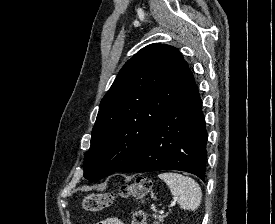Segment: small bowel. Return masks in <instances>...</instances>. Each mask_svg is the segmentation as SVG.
I'll list each match as a JSON object with an SVG mask.
<instances>
[{
  "label": "small bowel",
  "mask_w": 275,
  "mask_h": 224,
  "mask_svg": "<svg viewBox=\"0 0 275 224\" xmlns=\"http://www.w3.org/2000/svg\"><path fill=\"white\" fill-rule=\"evenodd\" d=\"M96 224H123V223L115 217H110V218H107L106 220L96 223Z\"/></svg>",
  "instance_id": "small-bowel-1"
}]
</instances>
